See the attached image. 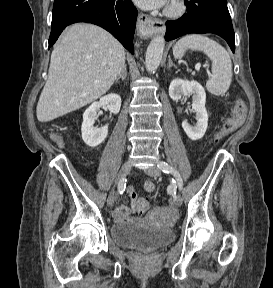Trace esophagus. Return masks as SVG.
<instances>
[{
	"instance_id": "esophagus-1",
	"label": "esophagus",
	"mask_w": 273,
	"mask_h": 288,
	"mask_svg": "<svg viewBox=\"0 0 273 288\" xmlns=\"http://www.w3.org/2000/svg\"><path fill=\"white\" fill-rule=\"evenodd\" d=\"M137 28L142 35L163 33L165 31V24L159 19L140 13L138 15Z\"/></svg>"
}]
</instances>
